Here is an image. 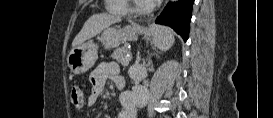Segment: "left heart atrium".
I'll use <instances>...</instances> for the list:
<instances>
[{
  "label": "left heart atrium",
  "instance_id": "1",
  "mask_svg": "<svg viewBox=\"0 0 273 118\" xmlns=\"http://www.w3.org/2000/svg\"><path fill=\"white\" fill-rule=\"evenodd\" d=\"M161 0H146V2L149 4V5H155L157 2H160Z\"/></svg>",
  "mask_w": 273,
  "mask_h": 118
}]
</instances>
